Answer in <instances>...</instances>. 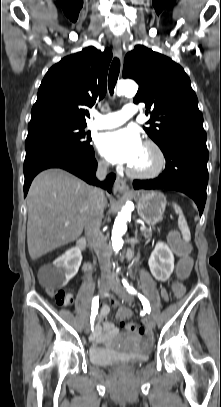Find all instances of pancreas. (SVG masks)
<instances>
[{
  "label": "pancreas",
  "mask_w": 221,
  "mask_h": 407,
  "mask_svg": "<svg viewBox=\"0 0 221 407\" xmlns=\"http://www.w3.org/2000/svg\"><path fill=\"white\" fill-rule=\"evenodd\" d=\"M143 236L148 239L152 236V231L151 229H145L144 231H142Z\"/></svg>",
  "instance_id": "pancreas-1"
}]
</instances>
